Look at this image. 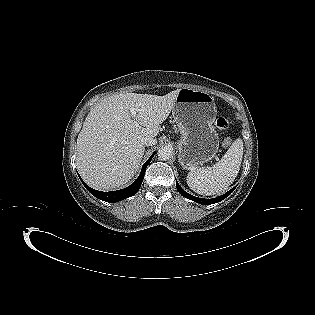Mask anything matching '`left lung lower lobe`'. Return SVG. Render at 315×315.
Returning <instances> with one entry per match:
<instances>
[{
  "instance_id": "1",
  "label": "left lung lower lobe",
  "mask_w": 315,
  "mask_h": 315,
  "mask_svg": "<svg viewBox=\"0 0 315 315\" xmlns=\"http://www.w3.org/2000/svg\"><path fill=\"white\" fill-rule=\"evenodd\" d=\"M176 187H177V190L178 192L184 196L185 198H188L190 200H193L197 203H200V204H203V205H210V204H214V203H218L220 201H222L223 199H225L228 195H230L233 190L236 188H232L231 190H229L228 192H226L224 195H221L217 198H213V199H203V198H198V197H195V196H192L190 194H188L186 191H184L180 185L178 184V182L176 181Z\"/></svg>"
}]
</instances>
